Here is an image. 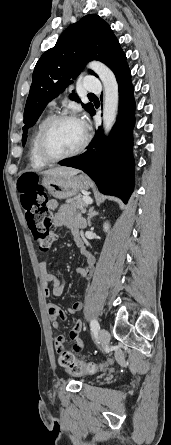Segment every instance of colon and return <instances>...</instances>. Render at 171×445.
Returning <instances> with one entry per match:
<instances>
[{"instance_id":"colon-1","label":"colon","mask_w":171,"mask_h":445,"mask_svg":"<svg viewBox=\"0 0 171 445\" xmlns=\"http://www.w3.org/2000/svg\"><path fill=\"white\" fill-rule=\"evenodd\" d=\"M17 189L22 210L34 241L40 249L48 250L57 239L56 228L52 223V214L47 206L46 193L34 175L18 179ZM58 362L73 375L95 373L102 365L93 362H83L75 359L71 351L59 349Z\"/></svg>"}]
</instances>
